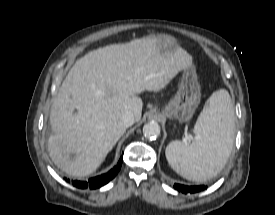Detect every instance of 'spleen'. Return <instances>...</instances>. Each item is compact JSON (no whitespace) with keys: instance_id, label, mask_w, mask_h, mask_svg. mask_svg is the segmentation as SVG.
<instances>
[{"instance_id":"obj_1","label":"spleen","mask_w":275,"mask_h":215,"mask_svg":"<svg viewBox=\"0 0 275 215\" xmlns=\"http://www.w3.org/2000/svg\"><path fill=\"white\" fill-rule=\"evenodd\" d=\"M235 116L229 93L214 92L206 101L194 127V141H180L166 148L169 165L182 177L196 182L207 181L225 166L234 142Z\"/></svg>"}]
</instances>
